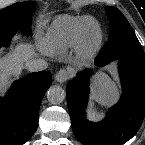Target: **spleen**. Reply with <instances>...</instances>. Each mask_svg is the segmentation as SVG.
Listing matches in <instances>:
<instances>
[{
	"label": "spleen",
	"mask_w": 145,
	"mask_h": 145,
	"mask_svg": "<svg viewBox=\"0 0 145 145\" xmlns=\"http://www.w3.org/2000/svg\"><path fill=\"white\" fill-rule=\"evenodd\" d=\"M93 97L99 104L109 106L118 98V89L114 82L107 76L96 80L92 86Z\"/></svg>",
	"instance_id": "1"
}]
</instances>
